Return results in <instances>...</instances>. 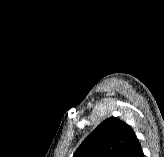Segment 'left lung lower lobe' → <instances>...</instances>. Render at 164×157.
Here are the masks:
<instances>
[{
  "label": "left lung lower lobe",
  "mask_w": 164,
  "mask_h": 157,
  "mask_svg": "<svg viewBox=\"0 0 164 157\" xmlns=\"http://www.w3.org/2000/svg\"><path fill=\"white\" fill-rule=\"evenodd\" d=\"M125 157H144L139 140L136 138L129 147Z\"/></svg>",
  "instance_id": "obj_1"
}]
</instances>
